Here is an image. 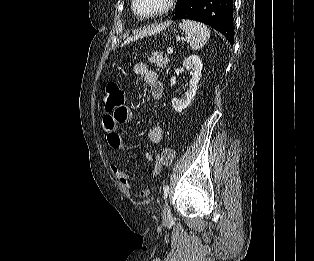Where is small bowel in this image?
Wrapping results in <instances>:
<instances>
[{"instance_id":"c3829d8e","label":"small bowel","mask_w":314,"mask_h":261,"mask_svg":"<svg viewBox=\"0 0 314 261\" xmlns=\"http://www.w3.org/2000/svg\"><path fill=\"white\" fill-rule=\"evenodd\" d=\"M134 72L144 77L146 84L150 87L151 97L153 100H160L163 96V86L157 72L149 69L146 63L138 62L134 65ZM132 120L131 110L122 105L117 109H108L107 114L103 117V128L107 133V141L109 146L114 150H122L126 144L122 134L118 131L121 124H126ZM149 140L154 144H160L163 140V129L160 124H154L148 134ZM146 159L154 162L151 174L157 175L162 165L158 161V157L147 154ZM113 175L118 179L121 186L126 191H132L134 188L132 178L125 173L117 164L111 165ZM150 194L149 188L141 190L140 195L146 197Z\"/></svg>"}]
</instances>
